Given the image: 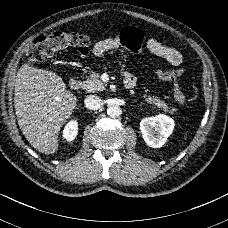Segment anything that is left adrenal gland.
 Returning <instances> with one entry per match:
<instances>
[{
    "mask_svg": "<svg viewBox=\"0 0 228 228\" xmlns=\"http://www.w3.org/2000/svg\"><path fill=\"white\" fill-rule=\"evenodd\" d=\"M132 102H137V100H132Z\"/></svg>",
    "mask_w": 228,
    "mask_h": 228,
    "instance_id": "a2214340",
    "label": "left adrenal gland"
}]
</instances>
